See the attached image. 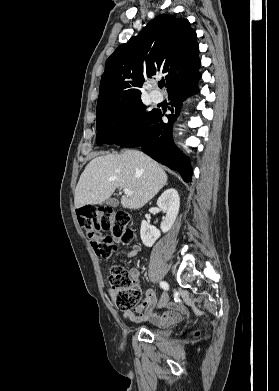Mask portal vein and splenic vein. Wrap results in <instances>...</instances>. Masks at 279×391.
<instances>
[{
    "instance_id": "1",
    "label": "portal vein and splenic vein",
    "mask_w": 279,
    "mask_h": 391,
    "mask_svg": "<svg viewBox=\"0 0 279 391\" xmlns=\"http://www.w3.org/2000/svg\"><path fill=\"white\" fill-rule=\"evenodd\" d=\"M123 192L126 194V195H133V192L127 188H124L123 189Z\"/></svg>"
}]
</instances>
